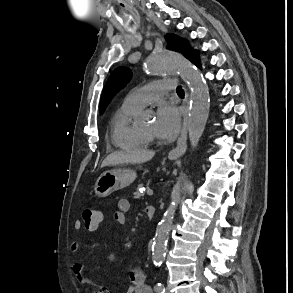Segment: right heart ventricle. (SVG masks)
Masks as SVG:
<instances>
[{"label":"right heart ventricle","mask_w":293,"mask_h":293,"mask_svg":"<svg viewBox=\"0 0 293 293\" xmlns=\"http://www.w3.org/2000/svg\"><path fill=\"white\" fill-rule=\"evenodd\" d=\"M139 109L122 105L111 122V140L114 146L125 151L145 149L149 141L132 125V118Z\"/></svg>","instance_id":"e07e8e85"}]
</instances>
